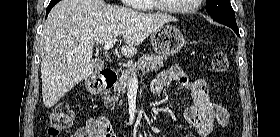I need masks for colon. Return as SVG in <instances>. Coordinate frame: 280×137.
I'll list each match as a JSON object with an SVG mask.
<instances>
[{"instance_id":"5ec220e1","label":"colon","mask_w":280,"mask_h":137,"mask_svg":"<svg viewBox=\"0 0 280 137\" xmlns=\"http://www.w3.org/2000/svg\"><path fill=\"white\" fill-rule=\"evenodd\" d=\"M229 61L225 53L217 52L212 56L211 69L215 73H224L227 71ZM73 124V113L69 106L64 102H58L49 117L48 134L52 137H57L61 132L71 127ZM90 131L92 135L99 137H109V129L99 123L97 120L90 124Z\"/></svg>"}]
</instances>
